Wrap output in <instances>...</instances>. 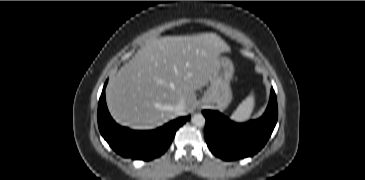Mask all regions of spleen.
Returning <instances> with one entry per match:
<instances>
[{"label": "spleen", "instance_id": "1", "mask_svg": "<svg viewBox=\"0 0 365 180\" xmlns=\"http://www.w3.org/2000/svg\"><path fill=\"white\" fill-rule=\"evenodd\" d=\"M255 98L253 94H250L237 109L233 112L231 119L236 122H245L250 119L254 110Z\"/></svg>", "mask_w": 365, "mask_h": 180}]
</instances>
